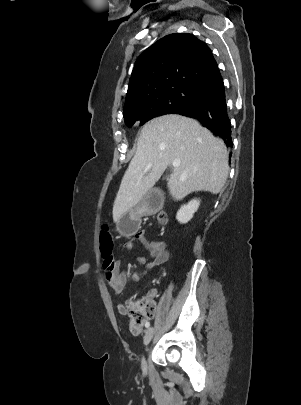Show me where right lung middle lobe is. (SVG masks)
I'll return each instance as SVG.
<instances>
[{
    "label": "right lung middle lobe",
    "mask_w": 301,
    "mask_h": 405,
    "mask_svg": "<svg viewBox=\"0 0 301 405\" xmlns=\"http://www.w3.org/2000/svg\"><path fill=\"white\" fill-rule=\"evenodd\" d=\"M207 95L203 91L186 87L166 90L142 99L137 107L124 113V121L128 127L136 121L143 125L154 117L197 103Z\"/></svg>",
    "instance_id": "obj_1"
}]
</instances>
